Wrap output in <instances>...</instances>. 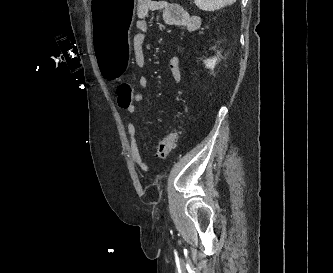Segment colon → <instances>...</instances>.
I'll return each mask as SVG.
<instances>
[{
	"instance_id": "obj_1",
	"label": "colon",
	"mask_w": 333,
	"mask_h": 273,
	"mask_svg": "<svg viewBox=\"0 0 333 273\" xmlns=\"http://www.w3.org/2000/svg\"><path fill=\"white\" fill-rule=\"evenodd\" d=\"M118 104L122 109H127L134 104V95L132 87L129 84L122 83L117 89ZM179 132L177 129L171 130L156 145V157L159 159L167 158L175 149Z\"/></svg>"
}]
</instances>
